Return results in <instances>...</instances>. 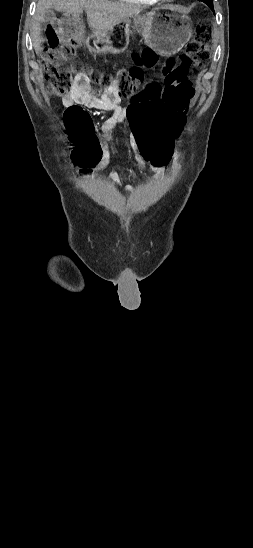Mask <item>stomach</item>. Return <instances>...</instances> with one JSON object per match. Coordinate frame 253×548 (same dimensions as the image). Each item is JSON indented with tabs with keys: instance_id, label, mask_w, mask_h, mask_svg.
Segmentation results:
<instances>
[{
	"instance_id": "obj_1",
	"label": "stomach",
	"mask_w": 253,
	"mask_h": 548,
	"mask_svg": "<svg viewBox=\"0 0 253 548\" xmlns=\"http://www.w3.org/2000/svg\"><path fill=\"white\" fill-rule=\"evenodd\" d=\"M144 42L160 55L177 53L191 38L189 17L176 7L155 8L145 14L133 17ZM130 20L110 30L105 36L94 34L89 49L94 53L119 54L126 50L131 31Z\"/></svg>"
}]
</instances>
